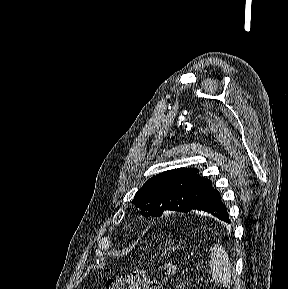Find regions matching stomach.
I'll return each mask as SVG.
<instances>
[{
	"label": "stomach",
	"instance_id": "1",
	"mask_svg": "<svg viewBox=\"0 0 288 289\" xmlns=\"http://www.w3.org/2000/svg\"><path fill=\"white\" fill-rule=\"evenodd\" d=\"M179 246H180V245H176V246L168 245V247L165 248V251L162 252V255H161V256L167 254V252H169V253L174 252L177 248H179Z\"/></svg>",
	"mask_w": 288,
	"mask_h": 289
}]
</instances>
